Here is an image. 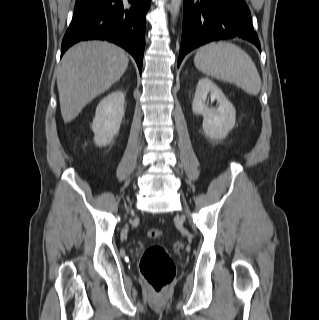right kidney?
Instances as JSON below:
<instances>
[{"label": "right kidney", "instance_id": "ca27d5eb", "mask_svg": "<svg viewBox=\"0 0 319 320\" xmlns=\"http://www.w3.org/2000/svg\"><path fill=\"white\" fill-rule=\"evenodd\" d=\"M124 103L125 95L120 90L110 93L99 102L92 124L94 142L97 146L110 144L119 132L124 116Z\"/></svg>", "mask_w": 319, "mask_h": 320}]
</instances>
